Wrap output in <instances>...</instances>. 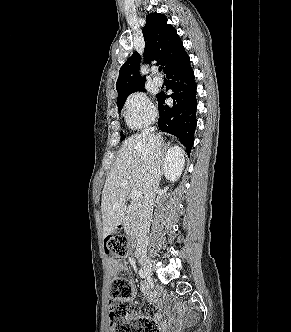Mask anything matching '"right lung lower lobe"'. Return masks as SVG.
Listing matches in <instances>:
<instances>
[{
  "label": "right lung lower lobe",
  "instance_id": "right-lung-lower-lobe-1",
  "mask_svg": "<svg viewBox=\"0 0 291 332\" xmlns=\"http://www.w3.org/2000/svg\"><path fill=\"white\" fill-rule=\"evenodd\" d=\"M166 76L170 79L168 89L172 90V94L166 96L164 92H160L156 96L160 115L158 126L161 131L177 136L190 152L197 123V101L196 83L189 57L170 68ZM166 97L173 99L171 106L165 105Z\"/></svg>",
  "mask_w": 291,
  "mask_h": 332
}]
</instances>
